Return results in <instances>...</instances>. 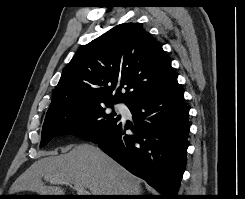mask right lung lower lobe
I'll list each match as a JSON object with an SVG mask.
<instances>
[{"instance_id": "98d812e1", "label": "right lung lower lobe", "mask_w": 245, "mask_h": 199, "mask_svg": "<svg viewBox=\"0 0 245 199\" xmlns=\"http://www.w3.org/2000/svg\"><path fill=\"white\" fill-rule=\"evenodd\" d=\"M134 125L120 119L91 142L161 195L178 199L186 165L189 111L175 82L166 90L126 104ZM130 129L132 133L127 134Z\"/></svg>"}]
</instances>
